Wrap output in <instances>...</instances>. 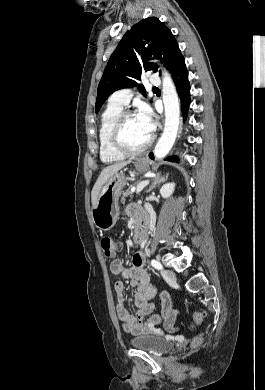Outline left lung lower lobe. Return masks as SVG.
<instances>
[{
	"label": "left lung lower lobe",
	"instance_id": "left-lung-lower-lobe-1",
	"mask_svg": "<svg viewBox=\"0 0 265 390\" xmlns=\"http://www.w3.org/2000/svg\"><path fill=\"white\" fill-rule=\"evenodd\" d=\"M170 73L173 77V80L176 85V89L178 92V95L181 100V108L184 119L187 115V110L190 104V84L188 81V72L185 65V59L182 56V54H179L177 58L175 59L171 69ZM150 158L154 159L153 154H150ZM166 160L172 161V162H178L179 158L177 156H171L168 157Z\"/></svg>",
	"mask_w": 265,
	"mask_h": 390
}]
</instances>
